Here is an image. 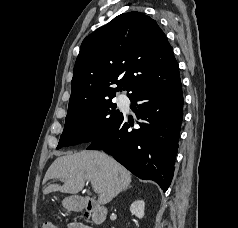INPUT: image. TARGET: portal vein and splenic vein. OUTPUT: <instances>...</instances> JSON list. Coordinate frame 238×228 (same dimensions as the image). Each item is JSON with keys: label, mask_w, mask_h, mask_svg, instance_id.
Wrapping results in <instances>:
<instances>
[{"label": "portal vein and splenic vein", "mask_w": 238, "mask_h": 228, "mask_svg": "<svg viewBox=\"0 0 238 228\" xmlns=\"http://www.w3.org/2000/svg\"><path fill=\"white\" fill-rule=\"evenodd\" d=\"M95 192H97V190L95 188H93Z\"/></svg>", "instance_id": "obj_1"}]
</instances>
